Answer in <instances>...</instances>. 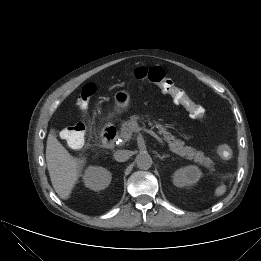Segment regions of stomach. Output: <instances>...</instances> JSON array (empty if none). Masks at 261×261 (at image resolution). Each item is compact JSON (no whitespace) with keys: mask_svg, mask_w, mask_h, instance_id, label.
Masks as SVG:
<instances>
[{"mask_svg":"<svg viewBox=\"0 0 261 261\" xmlns=\"http://www.w3.org/2000/svg\"><path fill=\"white\" fill-rule=\"evenodd\" d=\"M114 112L112 115L121 114L126 112L131 107V97L130 94L125 90L117 91L114 95Z\"/></svg>","mask_w":261,"mask_h":261,"instance_id":"stomach-1","label":"stomach"}]
</instances>
